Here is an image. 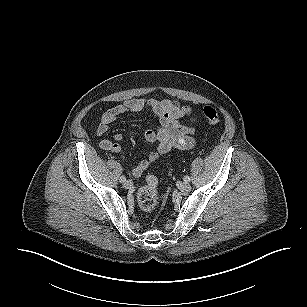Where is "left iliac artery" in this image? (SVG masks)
Masks as SVG:
<instances>
[{"mask_svg":"<svg viewBox=\"0 0 307 307\" xmlns=\"http://www.w3.org/2000/svg\"><path fill=\"white\" fill-rule=\"evenodd\" d=\"M184 181H185V182H190V177H189V176H185V177H184Z\"/></svg>","mask_w":307,"mask_h":307,"instance_id":"obj_1","label":"left iliac artery"}]
</instances>
